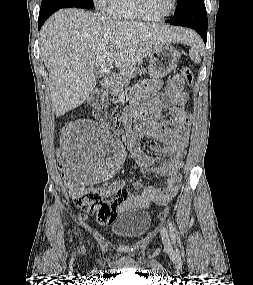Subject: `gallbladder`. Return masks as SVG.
<instances>
[{"mask_svg":"<svg viewBox=\"0 0 253 285\" xmlns=\"http://www.w3.org/2000/svg\"><path fill=\"white\" fill-rule=\"evenodd\" d=\"M95 76L97 77L98 76V71L95 69Z\"/></svg>","mask_w":253,"mask_h":285,"instance_id":"obj_1","label":"gallbladder"}]
</instances>
